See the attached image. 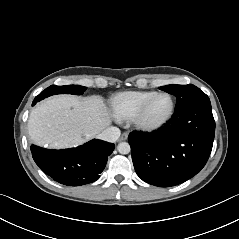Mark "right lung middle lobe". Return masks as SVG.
Returning <instances> with one entry per match:
<instances>
[{
  "mask_svg": "<svg viewBox=\"0 0 239 239\" xmlns=\"http://www.w3.org/2000/svg\"><path fill=\"white\" fill-rule=\"evenodd\" d=\"M87 87L79 86V85H66V86H56L51 85L42 91L38 96L35 97L34 100L40 101L48 96L54 94H77L81 95L86 91Z\"/></svg>",
  "mask_w": 239,
  "mask_h": 239,
  "instance_id": "dd1d6c3e",
  "label": "right lung middle lobe"
}]
</instances>
